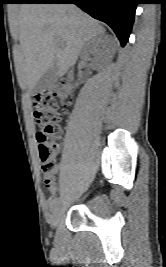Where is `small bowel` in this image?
<instances>
[{
	"instance_id": "small-bowel-1",
	"label": "small bowel",
	"mask_w": 166,
	"mask_h": 267,
	"mask_svg": "<svg viewBox=\"0 0 166 267\" xmlns=\"http://www.w3.org/2000/svg\"><path fill=\"white\" fill-rule=\"evenodd\" d=\"M44 183L50 193H55L57 187H56V181L53 175L50 176L49 178H44Z\"/></svg>"
}]
</instances>
